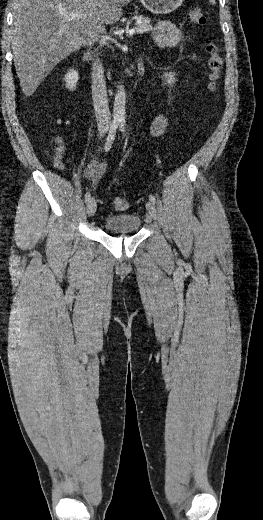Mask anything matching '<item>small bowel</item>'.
<instances>
[{
	"mask_svg": "<svg viewBox=\"0 0 263 520\" xmlns=\"http://www.w3.org/2000/svg\"><path fill=\"white\" fill-rule=\"evenodd\" d=\"M154 40L159 47H174L178 45L183 39L184 35L172 23L167 21L160 22L154 30ZM168 126V119L164 115H158L150 125V131L153 136L160 137L165 132ZM64 146L61 139H57V147L54 156V166L63 170L62 154ZM106 164L100 160H94L87 167L84 172V177L92 184H96L103 175Z\"/></svg>",
	"mask_w": 263,
	"mask_h": 520,
	"instance_id": "c3829d8e",
	"label": "small bowel"
}]
</instances>
